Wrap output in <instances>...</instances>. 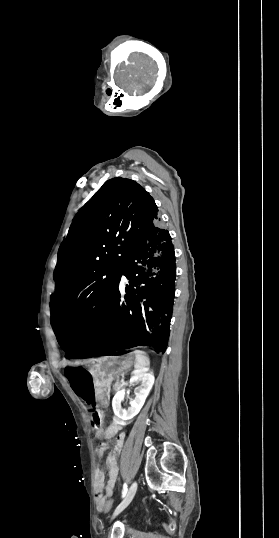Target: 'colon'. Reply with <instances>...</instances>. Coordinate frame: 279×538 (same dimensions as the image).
Instances as JSON below:
<instances>
[{"instance_id": "obj_1", "label": "colon", "mask_w": 279, "mask_h": 538, "mask_svg": "<svg viewBox=\"0 0 279 538\" xmlns=\"http://www.w3.org/2000/svg\"><path fill=\"white\" fill-rule=\"evenodd\" d=\"M114 507V503L111 500H107L100 508L102 511H110Z\"/></svg>"}]
</instances>
